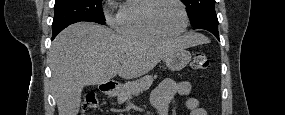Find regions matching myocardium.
I'll list each match as a JSON object with an SVG mask.
<instances>
[{
  "label": "myocardium",
  "mask_w": 285,
  "mask_h": 115,
  "mask_svg": "<svg viewBox=\"0 0 285 115\" xmlns=\"http://www.w3.org/2000/svg\"><path fill=\"white\" fill-rule=\"evenodd\" d=\"M163 1H167V0H153V3L151 4V6L148 10V14H147V19H148L150 26L155 31H157L158 33H160L161 35L166 36V37H176V36L182 35L187 30V28L189 26V15H188V11H187L185 4L181 0H172V1L176 2L181 7V10H182V13L184 16V24L179 31L168 32V31L164 30L155 20V11H156L157 7L159 6V4Z\"/></svg>",
  "instance_id": "obj_1"
}]
</instances>
